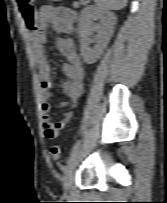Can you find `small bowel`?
Returning a JSON list of instances; mask_svg holds the SVG:
<instances>
[{"label":"small bowel","instance_id":"obj_1","mask_svg":"<svg viewBox=\"0 0 167 203\" xmlns=\"http://www.w3.org/2000/svg\"><path fill=\"white\" fill-rule=\"evenodd\" d=\"M76 13L62 7L44 6L36 15L35 27L29 33V43L32 54L40 72V97L42 110V126L47 138H55L72 119V112H66L63 118L54 122L50 115V100L52 98V66L48 58L46 33L49 27L55 32L68 37L57 40L59 52L66 58L62 70L66 80L62 83V90L67 100L62 101L60 108L75 107L83 90L85 68L76 51L74 40L70 37L74 31Z\"/></svg>","mask_w":167,"mask_h":203}]
</instances>
